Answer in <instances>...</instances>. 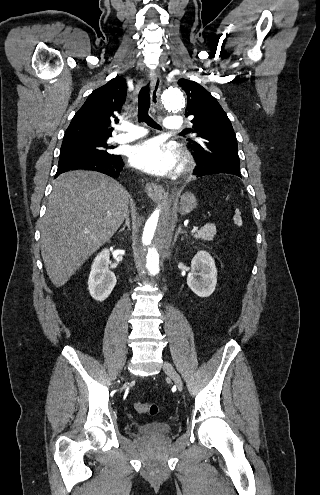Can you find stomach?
Here are the masks:
<instances>
[{"mask_svg":"<svg viewBox=\"0 0 320 495\" xmlns=\"http://www.w3.org/2000/svg\"><path fill=\"white\" fill-rule=\"evenodd\" d=\"M197 206L196 197L190 193L186 192L181 196L179 213L182 215H187L191 213Z\"/></svg>","mask_w":320,"mask_h":495,"instance_id":"0dacf381","label":"stomach"}]
</instances>
